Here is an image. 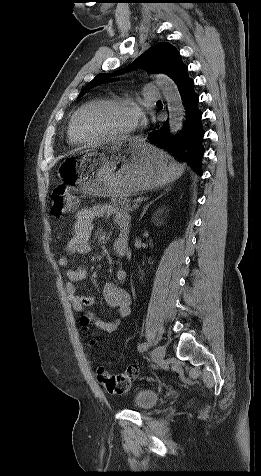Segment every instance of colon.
<instances>
[{
    "mask_svg": "<svg viewBox=\"0 0 261 476\" xmlns=\"http://www.w3.org/2000/svg\"><path fill=\"white\" fill-rule=\"evenodd\" d=\"M76 199L70 194L65 184L55 186L51 193V213L60 217L72 212L76 208ZM84 323L86 321L83 319ZM138 375V367L136 364L127 366L124 372L113 374L103 367L97 370V379L99 383L111 394H122L127 392L133 381Z\"/></svg>",
    "mask_w": 261,
    "mask_h": 476,
    "instance_id": "colon-1",
    "label": "colon"
}]
</instances>
